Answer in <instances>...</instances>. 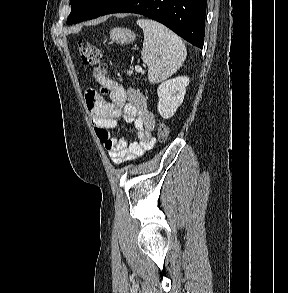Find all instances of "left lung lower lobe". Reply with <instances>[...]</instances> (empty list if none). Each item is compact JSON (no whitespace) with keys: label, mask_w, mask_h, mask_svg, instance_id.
Returning a JSON list of instances; mask_svg holds the SVG:
<instances>
[{"label":"left lung lower lobe","mask_w":288,"mask_h":293,"mask_svg":"<svg viewBox=\"0 0 288 293\" xmlns=\"http://www.w3.org/2000/svg\"><path fill=\"white\" fill-rule=\"evenodd\" d=\"M207 0H116L100 16L136 13L154 19L203 48Z\"/></svg>","instance_id":"left-lung-lower-lobe-1"}]
</instances>
